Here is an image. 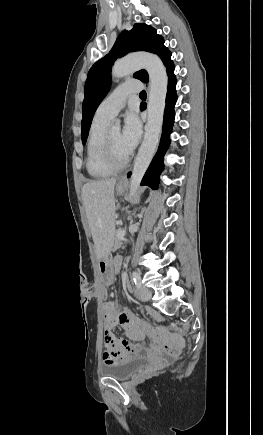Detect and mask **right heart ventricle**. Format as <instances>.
<instances>
[{
	"label": "right heart ventricle",
	"mask_w": 263,
	"mask_h": 435,
	"mask_svg": "<svg viewBox=\"0 0 263 435\" xmlns=\"http://www.w3.org/2000/svg\"><path fill=\"white\" fill-rule=\"evenodd\" d=\"M110 121L94 117L90 126L86 145L85 165L88 174L94 179H102L113 174L114 170L108 167L102 156L104 136L108 131Z\"/></svg>",
	"instance_id": "1"
}]
</instances>
